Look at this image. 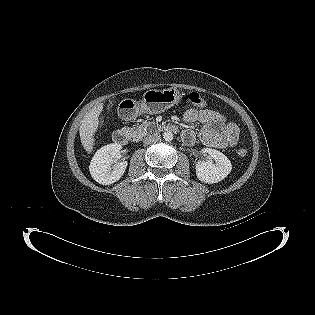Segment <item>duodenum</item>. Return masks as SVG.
<instances>
[{"label": "duodenum", "instance_id": "1", "mask_svg": "<svg viewBox=\"0 0 315 315\" xmlns=\"http://www.w3.org/2000/svg\"><path fill=\"white\" fill-rule=\"evenodd\" d=\"M159 128L172 133L178 132V127L174 124H160ZM131 137L132 133L128 128H120L113 133L114 142L120 145L126 144L131 139Z\"/></svg>", "mask_w": 315, "mask_h": 315}]
</instances>
